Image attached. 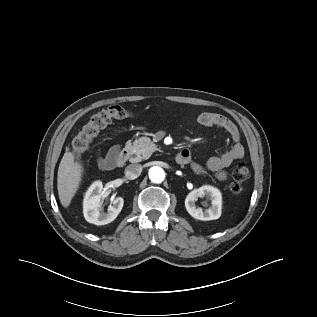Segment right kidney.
Returning a JSON list of instances; mask_svg holds the SVG:
<instances>
[{"label":"right kidney","instance_id":"1","mask_svg":"<svg viewBox=\"0 0 317 317\" xmlns=\"http://www.w3.org/2000/svg\"><path fill=\"white\" fill-rule=\"evenodd\" d=\"M104 197L102 182H93L85 193L83 200V213L87 222L95 225H105L116 219L122 210L124 204L123 198H115L112 205L108 207V212L105 213L99 209L100 201Z\"/></svg>","mask_w":317,"mask_h":317}]
</instances>
